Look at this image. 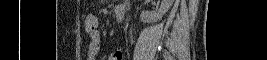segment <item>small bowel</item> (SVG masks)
<instances>
[{
  "instance_id": "obj_1",
  "label": "small bowel",
  "mask_w": 267,
  "mask_h": 60,
  "mask_svg": "<svg viewBox=\"0 0 267 60\" xmlns=\"http://www.w3.org/2000/svg\"><path fill=\"white\" fill-rule=\"evenodd\" d=\"M101 35L99 31H96L89 36V43L87 46V60H96L100 50ZM123 54L120 51L112 52L107 60H123Z\"/></svg>"
}]
</instances>
